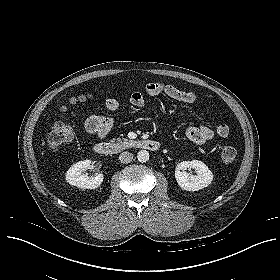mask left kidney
<instances>
[{
  "mask_svg": "<svg viewBox=\"0 0 280 280\" xmlns=\"http://www.w3.org/2000/svg\"><path fill=\"white\" fill-rule=\"evenodd\" d=\"M195 169L196 175L187 173L186 169ZM175 178L178 185L186 191H198L211 184L213 174L206 164L199 160L183 161L177 164Z\"/></svg>",
  "mask_w": 280,
  "mask_h": 280,
  "instance_id": "1",
  "label": "left kidney"
}]
</instances>
